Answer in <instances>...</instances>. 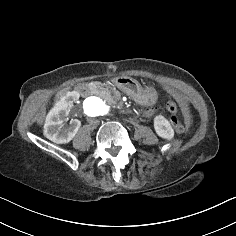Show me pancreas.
I'll return each instance as SVG.
<instances>
[{
    "label": "pancreas",
    "mask_w": 236,
    "mask_h": 236,
    "mask_svg": "<svg viewBox=\"0 0 236 236\" xmlns=\"http://www.w3.org/2000/svg\"><path fill=\"white\" fill-rule=\"evenodd\" d=\"M98 85V90L96 94L104 99H111V90L108 89L102 82L96 81L95 82Z\"/></svg>",
    "instance_id": "obj_1"
}]
</instances>
